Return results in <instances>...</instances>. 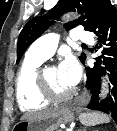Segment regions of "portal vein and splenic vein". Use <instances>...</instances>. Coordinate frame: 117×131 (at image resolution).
Returning <instances> with one entry per match:
<instances>
[{
  "label": "portal vein and splenic vein",
  "mask_w": 117,
  "mask_h": 131,
  "mask_svg": "<svg viewBox=\"0 0 117 131\" xmlns=\"http://www.w3.org/2000/svg\"><path fill=\"white\" fill-rule=\"evenodd\" d=\"M66 131H71L70 129H66Z\"/></svg>",
  "instance_id": "1"
}]
</instances>
